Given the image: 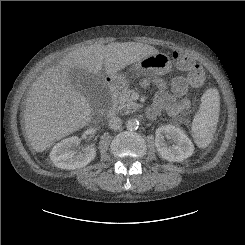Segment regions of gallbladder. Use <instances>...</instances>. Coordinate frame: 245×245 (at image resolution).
I'll use <instances>...</instances> for the list:
<instances>
[{
	"label": "gallbladder",
	"instance_id": "bac80fb5",
	"mask_svg": "<svg viewBox=\"0 0 245 245\" xmlns=\"http://www.w3.org/2000/svg\"><path fill=\"white\" fill-rule=\"evenodd\" d=\"M69 75L74 88L87 97L91 106L101 105L106 89L99 77L78 68L71 69Z\"/></svg>",
	"mask_w": 245,
	"mask_h": 245
}]
</instances>
